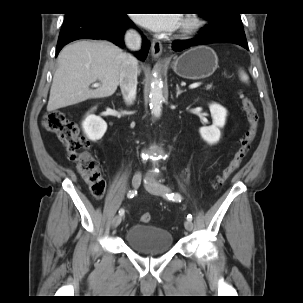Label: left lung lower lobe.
Masks as SVG:
<instances>
[{
    "label": "left lung lower lobe",
    "mask_w": 303,
    "mask_h": 303,
    "mask_svg": "<svg viewBox=\"0 0 303 303\" xmlns=\"http://www.w3.org/2000/svg\"><path fill=\"white\" fill-rule=\"evenodd\" d=\"M198 38L186 41H176L172 43L174 51H181L191 46L204 45L210 43L230 42L238 44L248 50L246 36L244 31H215L205 32L202 28Z\"/></svg>",
    "instance_id": "left-lung-lower-lobe-1"
}]
</instances>
